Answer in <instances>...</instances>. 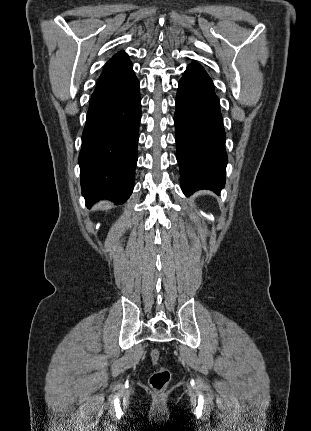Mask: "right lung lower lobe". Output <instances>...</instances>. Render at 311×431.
I'll list each match as a JSON object with an SVG mask.
<instances>
[{
	"label": "right lung lower lobe",
	"mask_w": 311,
	"mask_h": 431,
	"mask_svg": "<svg viewBox=\"0 0 311 431\" xmlns=\"http://www.w3.org/2000/svg\"><path fill=\"white\" fill-rule=\"evenodd\" d=\"M141 119L139 81L132 67L99 79L91 96L79 155L82 194L124 203L133 191Z\"/></svg>",
	"instance_id": "98d812e1"
}]
</instances>
